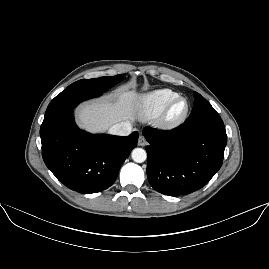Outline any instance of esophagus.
I'll use <instances>...</instances> for the list:
<instances>
[{"instance_id":"obj_1","label":"esophagus","mask_w":269,"mask_h":269,"mask_svg":"<svg viewBox=\"0 0 269 269\" xmlns=\"http://www.w3.org/2000/svg\"><path fill=\"white\" fill-rule=\"evenodd\" d=\"M138 146H141V147H144L145 145H147V141L145 139L144 136H139V139H138Z\"/></svg>"}]
</instances>
